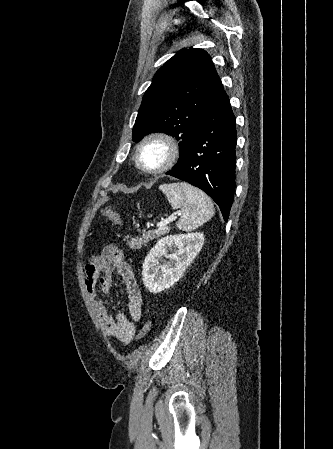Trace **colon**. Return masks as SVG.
Segmentation results:
<instances>
[{
	"label": "colon",
	"mask_w": 333,
	"mask_h": 449,
	"mask_svg": "<svg viewBox=\"0 0 333 449\" xmlns=\"http://www.w3.org/2000/svg\"><path fill=\"white\" fill-rule=\"evenodd\" d=\"M102 215L104 218L111 221L114 225L119 226L122 223V219L120 215L112 208L107 207L102 211ZM156 323V316L155 314H150L148 318L146 319L144 325L142 326L138 337L144 338L154 327Z\"/></svg>",
	"instance_id": "1"
}]
</instances>
